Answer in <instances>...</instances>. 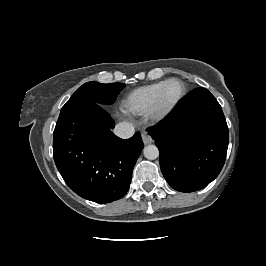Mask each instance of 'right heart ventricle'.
I'll return each mask as SVG.
<instances>
[{"label":"right heart ventricle","mask_w":266,"mask_h":266,"mask_svg":"<svg viewBox=\"0 0 266 266\" xmlns=\"http://www.w3.org/2000/svg\"><path fill=\"white\" fill-rule=\"evenodd\" d=\"M165 81L134 89L123 100L124 110L132 115L143 116L151 112L156 96Z\"/></svg>","instance_id":"right-heart-ventricle-1"}]
</instances>
